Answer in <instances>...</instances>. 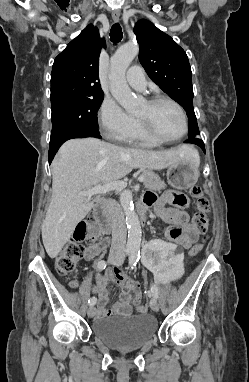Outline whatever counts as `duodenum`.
Instances as JSON below:
<instances>
[{
  "mask_svg": "<svg viewBox=\"0 0 249 382\" xmlns=\"http://www.w3.org/2000/svg\"><path fill=\"white\" fill-rule=\"evenodd\" d=\"M137 211L142 223L146 222L147 219V206L144 202H140L137 205ZM93 214L95 218L98 220L102 231L104 234H109L111 231V222L108 216L105 213V200L104 198H100L96 201L93 207Z\"/></svg>",
  "mask_w": 249,
  "mask_h": 382,
  "instance_id": "410a0bca",
  "label": "duodenum"
}]
</instances>
